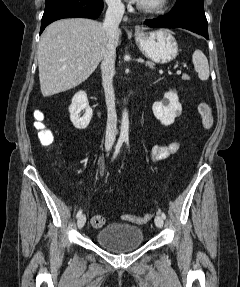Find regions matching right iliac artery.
Instances as JSON below:
<instances>
[{
  "label": "right iliac artery",
  "mask_w": 240,
  "mask_h": 287,
  "mask_svg": "<svg viewBox=\"0 0 240 287\" xmlns=\"http://www.w3.org/2000/svg\"><path fill=\"white\" fill-rule=\"evenodd\" d=\"M123 144V141L122 140H118L117 144H116V147H115V152H114V155H113V158L112 160H114L116 158V156L118 155L119 151H120V148ZM82 214V210L80 209L78 212H77V218H79Z\"/></svg>",
  "instance_id": "82829eb1"
}]
</instances>
